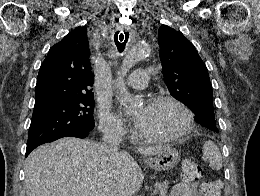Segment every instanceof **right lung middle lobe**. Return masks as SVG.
Wrapping results in <instances>:
<instances>
[{
  "label": "right lung middle lobe",
  "instance_id": "dd1d6c3e",
  "mask_svg": "<svg viewBox=\"0 0 260 196\" xmlns=\"http://www.w3.org/2000/svg\"><path fill=\"white\" fill-rule=\"evenodd\" d=\"M94 106L93 93L58 96L35 105L27 148L34 149L75 133L90 132L95 126Z\"/></svg>",
  "mask_w": 260,
  "mask_h": 196
}]
</instances>
